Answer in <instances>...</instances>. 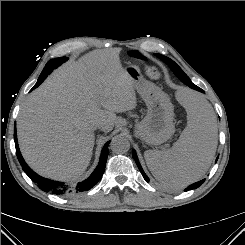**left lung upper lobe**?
<instances>
[{
	"instance_id": "obj_1",
	"label": "left lung upper lobe",
	"mask_w": 245,
	"mask_h": 245,
	"mask_svg": "<svg viewBox=\"0 0 245 245\" xmlns=\"http://www.w3.org/2000/svg\"><path fill=\"white\" fill-rule=\"evenodd\" d=\"M157 57L162 59L165 63L169 65V67L173 70V72L178 76V77H183L187 82H191L189 77L182 71V69L171 59H169L166 56H163L161 54H155Z\"/></svg>"
}]
</instances>
